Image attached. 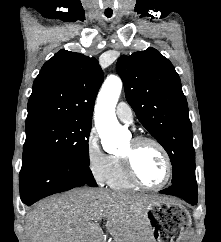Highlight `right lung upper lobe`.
Listing matches in <instances>:
<instances>
[{
	"mask_svg": "<svg viewBox=\"0 0 221 242\" xmlns=\"http://www.w3.org/2000/svg\"><path fill=\"white\" fill-rule=\"evenodd\" d=\"M103 79L96 58L60 50L34 81L26 126L54 120H92Z\"/></svg>",
	"mask_w": 221,
	"mask_h": 242,
	"instance_id": "cb5924a9",
	"label": "right lung upper lobe"
}]
</instances>
